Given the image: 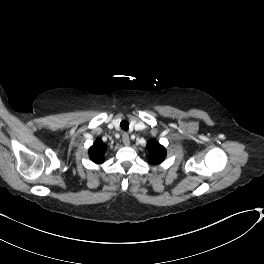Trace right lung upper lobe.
Listing matches in <instances>:
<instances>
[{"label":"right lung upper lobe","instance_id":"1","mask_svg":"<svg viewBox=\"0 0 264 264\" xmlns=\"http://www.w3.org/2000/svg\"><path fill=\"white\" fill-rule=\"evenodd\" d=\"M106 146L102 140L98 138L89 149V157L95 163H102Z\"/></svg>","mask_w":264,"mask_h":264}]
</instances>
